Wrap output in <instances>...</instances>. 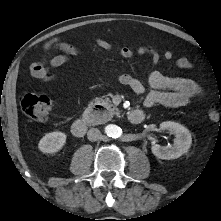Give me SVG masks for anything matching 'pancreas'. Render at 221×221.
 Listing matches in <instances>:
<instances>
[{
  "label": "pancreas",
  "mask_w": 221,
  "mask_h": 221,
  "mask_svg": "<svg viewBox=\"0 0 221 221\" xmlns=\"http://www.w3.org/2000/svg\"><path fill=\"white\" fill-rule=\"evenodd\" d=\"M96 102H101L104 105H106V107L108 109V115L106 118L99 116L96 112H92V113L86 115L84 119L89 125H97V124L103 123V122L109 120L114 114H118V112H119L118 108H116L115 106L110 104L109 98H106L105 100L96 99Z\"/></svg>",
  "instance_id": "1"
}]
</instances>
